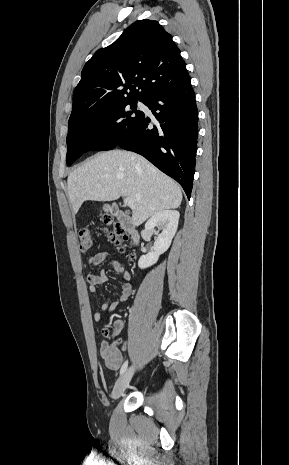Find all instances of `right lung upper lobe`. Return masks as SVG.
<instances>
[{"label": "right lung upper lobe", "mask_w": 289, "mask_h": 465, "mask_svg": "<svg viewBox=\"0 0 289 465\" xmlns=\"http://www.w3.org/2000/svg\"><path fill=\"white\" fill-rule=\"evenodd\" d=\"M189 81L186 64L172 36L157 21H136L113 44L96 51L84 66L73 95L69 128L78 121L86 104L146 100Z\"/></svg>", "instance_id": "cb5924a9"}]
</instances>
